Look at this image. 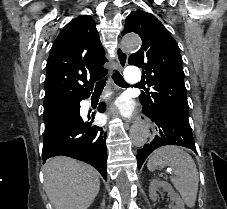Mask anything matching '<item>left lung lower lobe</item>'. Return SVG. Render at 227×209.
<instances>
[{
  "mask_svg": "<svg viewBox=\"0 0 227 209\" xmlns=\"http://www.w3.org/2000/svg\"><path fill=\"white\" fill-rule=\"evenodd\" d=\"M145 114L151 118L159 128V136L142 149L137 151L138 169L141 168L145 159L155 149L165 145H178L196 150L192 130L187 117L178 115L175 112L165 109L159 110L144 109ZM197 153V151H195Z\"/></svg>",
  "mask_w": 227,
  "mask_h": 209,
  "instance_id": "obj_1",
  "label": "left lung lower lobe"
}]
</instances>
